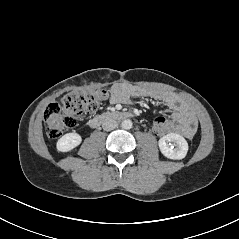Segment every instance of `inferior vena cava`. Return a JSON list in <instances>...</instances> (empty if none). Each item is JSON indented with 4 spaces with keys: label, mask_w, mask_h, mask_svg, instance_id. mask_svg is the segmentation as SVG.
Instances as JSON below:
<instances>
[{
    "label": "inferior vena cava",
    "mask_w": 239,
    "mask_h": 239,
    "mask_svg": "<svg viewBox=\"0 0 239 239\" xmlns=\"http://www.w3.org/2000/svg\"><path fill=\"white\" fill-rule=\"evenodd\" d=\"M118 126L117 122L112 118H106L102 123V128L105 131L114 130Z\"/></svg>",
    "instance_id": "602c4592"
}]
</instances>
